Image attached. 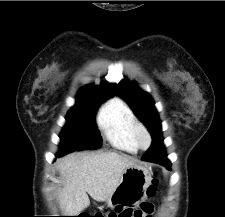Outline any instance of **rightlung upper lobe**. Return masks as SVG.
I'll return each mask as SVG.
<instances>
[{"mask_svg":"<svg viewBox=\"0 0 225 217\" xmlns=\"http://www.w3.org/2000/svg\"><path fill=\"white\" fill-rule=\"evenodd\" d=\"M116 93V86L110 83H101L99 86L94 84L88 85L82 88L77 95V98L90 97L108 99Z\"/></svg>","mask_w":225,"mask_h":217,"instance_id":"right-lung-upper-lobe-1","label":"right lung upper lobe"}]
</instances>
